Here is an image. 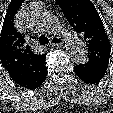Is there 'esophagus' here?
Returning <instances> with one entry per match:
<instances>
[{
    "label": "esophagus",
    "instance_id": "1",
    "mask_svg": "<svg viewBox=\"0 0 113 113\" xmlns=\"http://www.w3.org/2000/svg\"><path fill=\"white\" fill-rule=\"evenodd\" d=\"M62 44H63V40H62L60 37L53 36V37L50 39V45H51V46L59 47V46H62Z\"/></svg>",
    "mask_w": 113,
    "mask_h": 113
}]
</instances>
